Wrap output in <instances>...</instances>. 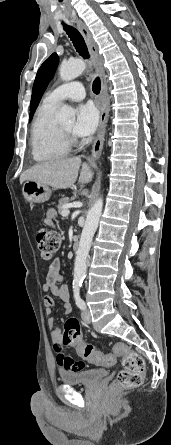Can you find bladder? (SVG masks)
<instances>
[{
  "label": "bladder",
  "mask_w": 171,
  "mask_h": 445,
  "mask_svg": "<svg viewBox=\"0 0 171 445\" xmlns=\"http://www.w3.org/2000/svg\"><path fill=\"white\" fill-rule=\"evenodd\" d=\"M108 376L107 369L88 368L77 371H62L61 380L67 385H92Z\"/></svg>",
  "instance_id": "1"
}]
</instances>
